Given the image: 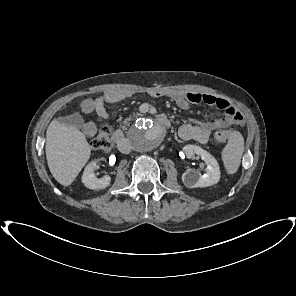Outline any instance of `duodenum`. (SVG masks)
I'll list each match as a JSON object with an SVG mask.
<instances>
[{
	"label": "duodenum",
	"instance_id": "410a0bca",
	"mask_svg": "<svg viewBox=\"0 0 296 296\" xmlns=\"http://www.w3.org/2000/svg\"><path fill=\"white\" fill-rule=\"evenodd\" d=\"M156 119L162 126L169 127L170 121L165 116L158 115ZM112 140L121 152L126 153L129 150V143L122 130H116L112 135Z\"/></svg>",
	"mask_w": 296,
	"mask_h": 296
}]
</instances>
